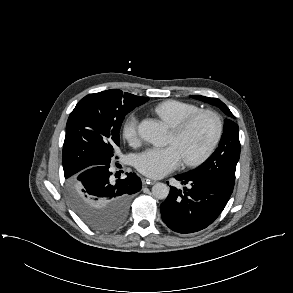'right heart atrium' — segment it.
Masks as SVG:
<instances>
[{
  "label": "right heart atrium",
  "instance_id": "1",
  "mask_svg": "<svg viewBox=\"0 0 293 293\" xmlns=\"http://www.w3.org/2000/svg\"><path fill=\"white\" fill-rule=\"evenodd\" d=\"M138 124L139 120L137 115L134 113L129 114L122 125V135L123 138L130 142V143H136L138 140Z\"/></svg>",
  "mask_w": 293,
  "mask_h": 293
}]
</instances>
